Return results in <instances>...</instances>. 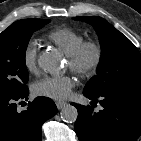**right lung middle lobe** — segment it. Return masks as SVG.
I'll return each instance as SVG.
<instances>
[{"instance_id": "right-lung-middle-lobe-1", "label": "right lung middle lobe", "mask_w": 141, "mask_h": 141, "mask_svg": "<svg viewBox=\"0 0 141 141\" xmlns=\"http://www.w3.org/2000/svg\"><path fill=\"white\" fill-rule=\"evenodd\" d=\"M49 22L47 19H23L0 33V95L20 94L28 90L27 44L33 32Z\"/></svg>"}]
</instances>
